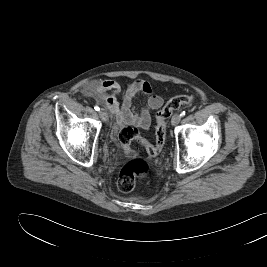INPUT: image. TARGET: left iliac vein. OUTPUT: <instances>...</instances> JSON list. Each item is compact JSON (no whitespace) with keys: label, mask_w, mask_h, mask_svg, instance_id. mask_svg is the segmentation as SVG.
Masks as SVG:
<instances>
[{"label":"left iliac vein","mask_w":267,"mask_h":267,"mask_svg":"<svg viewBox=\"0 0 267 267\" xmlns=\"http://www.w3.org/2000/svg\"><path fill=\"white\" fill-rule=\"evenodd\" d=\"M180 121H181V116L179 114H175L171 119L172 125H177L179 124Z\"/></svg>","instance_id":"4c4485c4"}]
</instances>
